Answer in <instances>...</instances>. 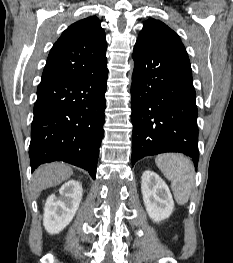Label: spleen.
<instances>
[{
  "mask_svg": "<svg viewBox=\"0 0 233 263\" xmlns=\"http://www.w3.org/2000/svg\"><path fill=\"white\" fill-rule=\"evenodd\" d=\"M156 165L171 181L176 202L187 203L194 184V166L189 158L178 153L161 154L155 158Z\"/></svg>",
  "mask_w": 233,
  "mask_h": 263,
  "instance_id": "3e777b00",
  "label": "spleen"
}]
</instances>
